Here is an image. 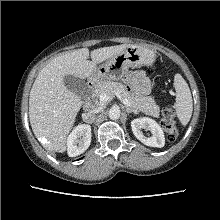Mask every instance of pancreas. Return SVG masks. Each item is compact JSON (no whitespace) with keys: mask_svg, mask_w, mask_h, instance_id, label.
<instances>
[{"mask_svg":"<svg viewBox=\"0 0 220 220\" xmlns=\"http://www.w3.org/2000/svg\"><path fill=\"white\" fill-rule=\"evenodd\" d=\"M104 93L112 97L119 94L127 99L134 109L156 118L159 117L160 109L152 96H144L136 91H128L127 87L120 82L103 81L96 89L95 95L99 97Z\"/></svg>","mask_w":220,"mask_h":220,"instance_id":"1","label":"pancreas"}]
</instances>
